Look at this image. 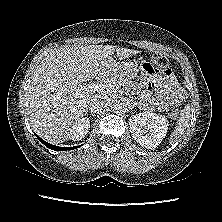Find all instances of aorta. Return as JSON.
Instances as JSON below:
<instances>
[{
	"instance_id": "obj_1",
	"label": "aorta",
	"mask_w": 222,
	"mask_h": 222,
	"mask_svg": "<svg viewBox=\"0 0 222 222\" xmlns=\"http://www.w3.org/2000/svg\"><path fill=\"white\" fill-rule=\"evenodd\" d=\"M112 108L114 112L119 113L123 110L124 105L121 101L117 100L113 103Z\"/></svg>"
}]
</instances>
